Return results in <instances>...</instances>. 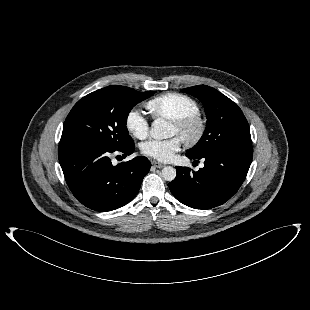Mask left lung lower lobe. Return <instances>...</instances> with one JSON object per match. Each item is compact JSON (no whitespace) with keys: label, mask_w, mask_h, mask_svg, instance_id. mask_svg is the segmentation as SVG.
I'll use <instances>...</instances> for the list:
<instances>
[{"label":"left lung lower lobe","mask_w":310,"mask_h":310,"mask_svg":"<svg viewBox=\"0 0 310 310\" xmlns=\"http://www.w3.org/2000/svg\"><path fill=\"white\" fill-rule=\"evenodd\" d=\"M190 159H197L186 153ZM197 172L176 167L170 191L181 203L195 209H210L229 200L242 185L252 161L251 148L220 150L205 157Z\"/></svg>","instance_id":"1"}]
</instances>
